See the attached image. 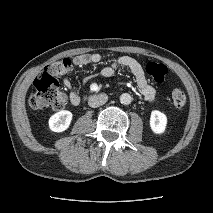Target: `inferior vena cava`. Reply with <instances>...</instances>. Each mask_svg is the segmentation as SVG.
Listing matches in <instances>:
<instances>
[{"instance_id": "1", "label": "inferior vena cava", "mask_w": 213, "mask_h": 213, "mask_svg": "<svg viewBox=\"0 0 213 213\" xmlns=\"http://www.w3.org/2000/svg\"><path fill=\"white\" fill-rule=\"evenodd\" d=\"M107 100H108V96L106 94H98V95L91 96L88 100V104L92 108H97L105 104Z\"/></svg>"}]
</instances>
